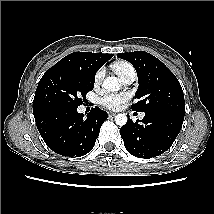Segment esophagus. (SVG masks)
Here are the masks:
<instances>
[{
	"mask_svg": "<svg viewBox=\"0 0 214 214\" xmlns=\"http://www.w3.org/2000/svg\"><path fill=\"white\" fill-rule=\"evenodd\" d=\"M108 114H109L110 116H115V115H116V113H114V112H108Z\"/></svg>",
	"mask_w": 214,
	"mask_h": 214,
	"instance_id": "1",
	"label": "esophagus"
}]
</instances>
